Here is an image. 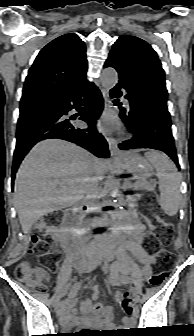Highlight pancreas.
<instances>
[{"label": "pancreas", "mask_w": 194, "mask_h": 336, "mask_svg": "<svg viewBox=\"0 0 194 336\" xmlns=\"http://www.w3.org/2000/svg\"><path fill=\"white\" fill-rule=\"evenodd\" d=\"M129 187L135 191H141V193L151 192L153 190L150 182L146 179H138L135 183L130 184ZM136 201L137 198L135 196L127 198V209L129 211H134L136 209V206L134 205Z\"/></svg>", "instance_id": "obj_1"}]
</instances>
